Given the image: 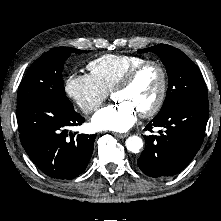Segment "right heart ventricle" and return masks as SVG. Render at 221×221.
<instances>
[{"mask_svg":"<svg viewBox=\"0 0 221 221\" xmlns=\"http://www.w3.org/2000/svg\"><path fill=\"white\" fill-rule=\"evenodd\" d=\"M144 61L136 55L107 54L90 62L88 69L97 82L111 92L131 69Z\"/></svg>","mask_w":221,"mask_h":221,"instance_id":"right-heart-ventricle-1","label":"right heart ventricle"}]
</instances>
